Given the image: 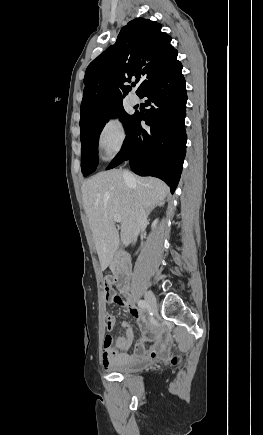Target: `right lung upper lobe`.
<instances>
[{
	"label": "right lung upper lobe",
	"instance_id": "1",
	"mask_svg": "<svg viewBox=\"0 0 263 435\" xmlns=\"http://www.w3.org/2000/svg\"><path fill=\"white\" fill-rule=\"evenodd\" d=\"M171 36L161 32V24L136 18L124 26L114 45L94 59L86 69L80 128L93 123L109 108L122 103L136 78L141 95L155 80L179 61Z\"/></svg>",
	"mask_w": 263,
	"mask_h": 435
}]
</instances>
